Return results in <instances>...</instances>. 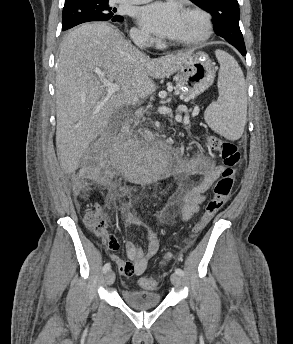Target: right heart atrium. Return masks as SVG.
<instances>
[{"instance_id":"right-heart-atrium-1","label":"right heart atrium","mask_w":293,"mask_h":344,"mask_svg":"<svg viewBox=\"0 0 293 344\" xmlns=\"http://www.w3.org/2000/svg\"><path fill=\"white\" fill-rule=\"evenodd\" d=\"M131 36L136 42H142L145 44L153 43L152 37L147 32L137 28L132 29Z\"/></svg>"}]
</instances>
